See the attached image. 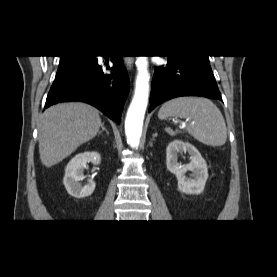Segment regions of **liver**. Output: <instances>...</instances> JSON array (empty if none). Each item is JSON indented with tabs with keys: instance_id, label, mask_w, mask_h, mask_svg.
I'll use <instances>...</instances> for the list:
<instances>
[{
	"instance_id": "liver-1",
	"label": "liver",
	"mask_w": 277,
	"mask_h": 277,
	"mask_svg": "<svg viewBox=\"0 0 277 277\" xmlns=\"http://www.w3.org/2000/svg\"><path fill=\"white\" fill-rule=\"evenodd\" d=\"M102 126L99 112L85 103H63L48 108L39 125L40 160L51 167L93 139Z\"/></svg>"
}]
</instances>
